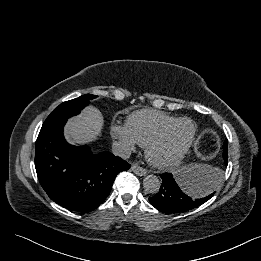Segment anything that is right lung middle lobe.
Returning <instances> with one entry per match:
<instances>
[{"label":"right lung middle lobe","instance_id":"1","mask_svg":"<svg viewBox=\"0 0 261 261\" xmlns=\"http://www.w3.org/2000/svg\"><path fill=\"white\" fill-rule=\"evenodd\" d=\"M96 97V95L86 94L78 98L63 102L50 113L45 122L60 118H69L71 116L77 115L85 106L89 104V100H92Z\"/></svg>","mask_w":261,"mask_h":261}]
</instances>
